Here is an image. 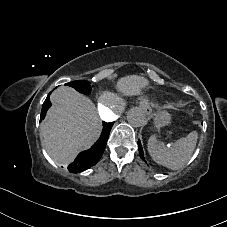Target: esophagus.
Returning <instances> with one entry per match:
<instances>
[{
  "instance_id": "esophagus-1",
  "label": "esophagus",
  "mask_w": 227,
  "mask_h": 227,
  "mask_svg": "<svg viewBox=\"0 0 227 227\" xmlns=\"http://www.w3.org/2000/svg\"><path fill=\"white\" fill-rule=\"evenodd\" d=\"M140 109L142 111L143 116L146 117V118L151 117L152 114H153L151 106L147 102L142 103L141 106H140Z\"/></svg>"
}]
</instances>
